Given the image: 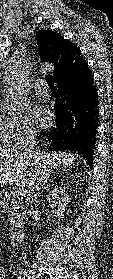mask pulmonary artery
Returning a JSON list of instances; mask_svg holds the SVG:
<instances>
[{"instance_id":"e3ab8cb5","label":"pulmonary artery","mask_w":113,"mask_h":279,"mask_svg":"<svg viewBox=\"0 0 113 279\" xmlns=\"http://www.w3.org/2000/svg\"><path fill=\"white\" fill-rule=\"evenodd\" d=\"M32 87L37 94L44 95L46 97L48 96L49 89L44 81L35 80L32 84Z\"/></svg>"}]
</instances>
